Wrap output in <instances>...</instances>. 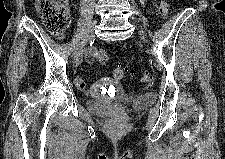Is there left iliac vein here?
Returning <instances> with one entry per match:
<instances>
[{
  "label": "left iliac vein",
  "mask_w": 225,
  "mask_h": 159,
  "mask_svg": "<svg viewBox=\"0 0 225 159\" xmlns=\"http://www.w3.org/2000/svg\"><path fill=\"white\" fill-rule=\"evenodd\" d=\"M140 35L142 36V38H144V37H143V34H142L141 32H140Z\"/></svg>",
  "instance_id": "1"
}]
</instances>
